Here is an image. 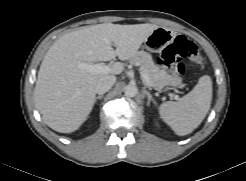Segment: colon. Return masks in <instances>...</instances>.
Here are the masks:
<instances>
[{"label":"colon","mask_w":246,"mask_h":181,"mask_svg":"<svg viewBox=\"0 0 246 181\" xmlns=\"http://www.w3.org/2000/svg\"><path fill=\"white\" fill-rule=\"evenodd\" d=\"M183 59H188L196 65L203 63V57L197 46L186 37L180 35L162 51L161 62L172 73L182 77L186 74V67L181 62Z\"/></svg>","instance_id":"obj_1"}]
</instances>
